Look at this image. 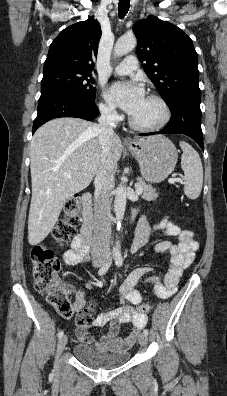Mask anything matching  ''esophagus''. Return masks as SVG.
<instances>
[{"label": "esophagus", "instance_id": "1", "mask_svg": "<svg viewBox=\"0 0 227 396\" xmlns=\"http://www.w3.org/2000/svg\"><path fill=\"white\" fill-rule=\"evenodd\" d=\"M133 143H134V141L132 140V138H130V137H125L124 138V144L132 145Z\"/></svg>", "mask_w": 227, "mask_h": 396}]
</instances>
